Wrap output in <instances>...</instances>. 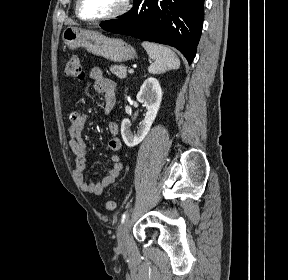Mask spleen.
Returning a JSON list of instances; mask_svg holds the SVG:
<instances>
[{
  "instance_id": "3e777b00",
  "label": "spleen",
  "mask_w": 288,
  "mask_h": 280,
  "mask_svg": "<svg viewBox=\"0 0 288 280\" xmlns=\"http://www.w3.org/2000/svg\"><path fill=\"white\" fill-rule=\"evenodd\" d=\"M143 48L153 60L148 67L151 74H161L171 69L180 67V60L177 55L168 47L151 42H143Z\"/></svg>"
}]
</instances>
